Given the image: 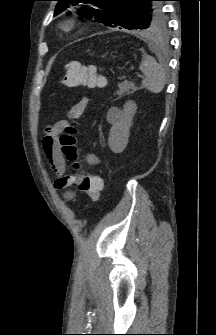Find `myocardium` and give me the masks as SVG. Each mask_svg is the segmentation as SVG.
Returning a JSON list of instances; mask_svg holds the SVG:
<instances>
[{"instance_id":"obj_1","label":"myocardium","mask_w":216,"mask_h":335,"mask_svg":"<svg viewBox=\"0 0 216 335\" xmlns=\"http://www.w3.org/2000/svg\"><path fill=\"white\" fill-rule=\"evenodd\" d=\"M60 28L64 32H70L75 29V23L72 20H65L61 23Z\"/></svg>"}]
</instances>
